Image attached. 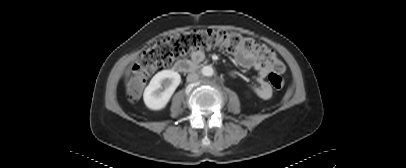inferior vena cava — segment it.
<instances>
[{
	"label": "inferior vena cava",
	"mask_w": 406,
	"mask_h": 168,
	"mask_svg": "<svg viewBox=\"0 0 406 168\" xmlns=\"http://www.w3.org/2000/svg\"><path fill=\"white\" fill-rule=\"evenodd\" d=\"M199 78V75L195 72H191L187 76V82H195Z\"/></svg>",
	"instance_id": "obj_1"
}]
</instances>
